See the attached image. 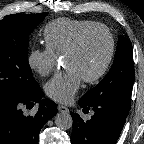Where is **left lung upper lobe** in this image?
Returning <instances> with one entry per match:
<instances>
[{
	"mask_svg": "<svg viewBox=\"0 0 144 144\" xmlns=\"http://www.w3.org/2000/svg\"><path fill=\"white\" fill-rule=\"evenodd\" d=\"M134 77L131 41L120 36L110 71L96 87L85 93L79 101L88 106L100 101H112L130 108Z\"/></svg>",
	"mask_w": 144,
	"mask_h": 144,
	"instance_id": "1",
	"label": "left lung upper lobe"
}]
</instances>
